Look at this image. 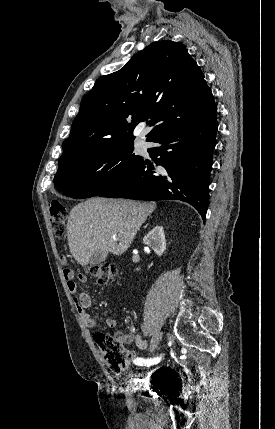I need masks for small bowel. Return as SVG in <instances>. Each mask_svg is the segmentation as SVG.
Here are the masks:
<instances>
[{"mask_svg":"<svg viewBox=\"0 0 275 429\" xmlns=\"http://www.w3.org/2000/svg\"><path fill=\"white\" fill-rule=\"evenodd\" d=\"M63 274L65 277L69 292L74 295L77 294L78 287H77V283L74 280L73 271L71 269L65 268L63 270ZM79 281L82 283L87 282L86 276L79 275ZM75 303H76L77 311L81 316L83 323L89 329H95L98 324L97 320L95 317H93L87 312V310L90 308L92 303L90 295L86 292L79 293L75 298ZM107 325L110 328H114L116 326V320L114 318H108ZM117 336L121 337L125 343H132V342L135 343L140 349H147L149 347L148 342L143 340L139 335L118 333ZM133 356L134 355L132 353V357Z\"/></svg>","mask_w":275,"mask_h":429,"instance_id":"1","label":"small bowel"}]
</instances>
